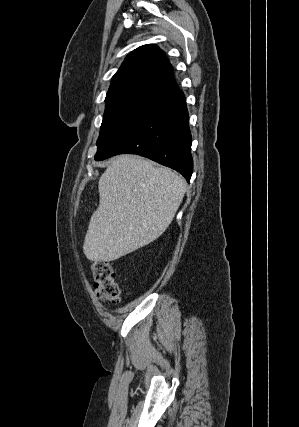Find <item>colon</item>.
<instances>
[{"mask_svg":"<svg viewBox=\"0 0 299 427\" xmlns=\"http://www.w3.org/2000/svg\"><path fill=\"white\" fill-rule=\"evenodd\" d=\"M91 269L97 297L102 301L119 302L120 286L111 264L106 261H95Z\"/></svg>","mask_w":299,"mask_h":427,"instance_id":"1","label":"colon"}]
</instances>
